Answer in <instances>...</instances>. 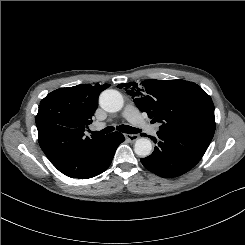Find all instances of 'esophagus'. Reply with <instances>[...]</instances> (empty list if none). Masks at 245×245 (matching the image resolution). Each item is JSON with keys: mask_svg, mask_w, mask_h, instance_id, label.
I'll list each match as a JSON object with an SVG mask.
<instances>
[{"mask_svg": "<svg viewBox=\"0 0 245 245\" xmlns=\"http://www.w3.org/2000/svg\"><path fill=\"white\" fill-rule=\"evenodd\" d=\"M138 135L136 134H125V138L126 140L130 141V142H134L138 139Z\"/></svg>", "mask_w": 245, "mask_h": 245, "instance_id": "obj_1", "label": "esophagus"}]
</instances>
